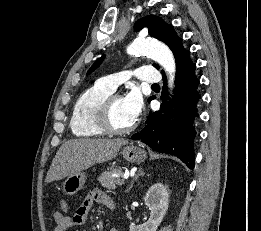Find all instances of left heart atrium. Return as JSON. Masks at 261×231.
Here are the masks:
<instances>
[{
    "label": "left heart atrium",
    "instance_id": "obj_1",
    "mask_svg": "<svg viewBox=\"0 0 261 231\" xmlns=\"http://www.w3.org/2000/svg\"><path fill=\"white\" fill-rule=\"evenodd\" d=\"M123 99L128 112L136 120L143 108V99L139 90H131Z\"/></svg>",
    "mask_w": 261,
    "mask_h": 231
}]
</instances>
